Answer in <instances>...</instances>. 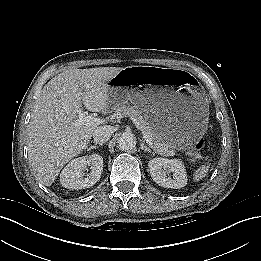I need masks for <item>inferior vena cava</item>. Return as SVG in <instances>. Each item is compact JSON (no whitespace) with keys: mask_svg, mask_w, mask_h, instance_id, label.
Wrapping results in <instances>:
<instances>
[{"mask_svg":"<svg viewBox=\"0 0 261 261\" xmlns=\"http://www.w3.org/2000/svg\"><path fill=\"white\" fill-rule=\"evenodd\" d=\"M112 133V128L109 126L98 127L93 133L94 141L96 143H104L110 139Z\"/></svg>","mask_w":261,"mask_h":261,"instance_id":"602c4592","label":"inferior vena cava"}]
</instances>
